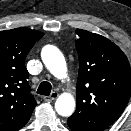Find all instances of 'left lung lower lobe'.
Segmentation results:
<instances>
[{"label": "left lung lower lobe", "mask_w": 131, "mask_h": 131, "mask_svg": "<svg viewBox=\"0 0 131 131\" xmlns=\"http://www.w3.org/2000/svg\"><path fill=\"white\" fill-rule=\"evenodd\" d=\"M67 123L72 131H88L84 126L73 119L68 118Z\"/></svg>", "instance_id": "obj_1"}]
</instances>
